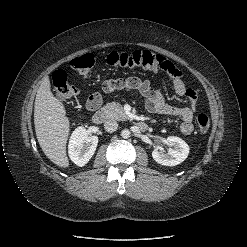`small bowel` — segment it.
Segmentation results:
<instances>
[{"mask_svg": "<svg viewBox=\"0 0 247 247\" xmlns=\"http://www.w3.org/2000/svg\"><path fill=\"white\" fill-rule=\"evenodd\" d=\"M175 93L185 96L189 100V106L177 107L165 102L162 93L154 89L148 79L130 77L126 79L107 80L103 83L106 92L114 90L137 91L145 100V107L148 112L172 116L180 119V130L184 135L193 132V117L198 110V95L196 91L189 88L182 80L181 76L173 78ZM102 96L100 93L92 94L87 101V108L94 110L101 105Z\"/></svg>", "mask_w": 247, "mask_h": 247, "instance_id": "small-bowel-1", "label": "small bowel"}]
</instances>
